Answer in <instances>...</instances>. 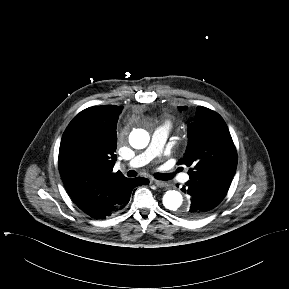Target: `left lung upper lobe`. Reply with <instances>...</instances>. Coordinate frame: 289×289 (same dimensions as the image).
Instances as JSON below:
<instances>
[{"instance_id":"left-lung-upper-lobe-1","label":"left lung upper lobe","mask_w":289,"mask_h":289,"mask_svg":"<svg viewBox=\"0 0 289 289\" xmlns=\"http://www.w3.org/2000/svg\"><path fill=\"white\" fill-rule=\"evenodd\" d=\"M187 106H179V110ZM188 146L180 164L192 166V181H202L228 189L237 167V153L228 127L216 112L197 107L188 124Z\"/></svg>"}]
</instances>
